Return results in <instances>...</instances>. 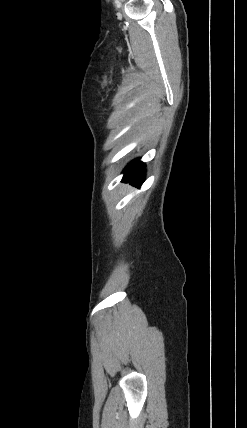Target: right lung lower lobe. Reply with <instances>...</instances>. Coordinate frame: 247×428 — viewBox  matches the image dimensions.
<instances>
[{
    "label": "right lung lower lobe",
    "mask_w": 247,
    "mask_h": 428,
    "mask_svg": "<svg viewBox=\"0 0 247 428\" xmlns=\"http://www.w3.org/2000/svg\"><path fill=\"white\" fill-rule=\"evenodd\" d=\"M145 164L139 159L131 162L124 170V181H129L136 186H141L144 182Z\"/></svg>",
    "instance_id": "obj_1"
}]
</instances>
